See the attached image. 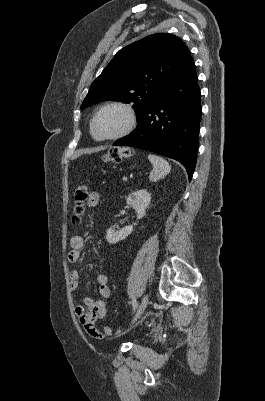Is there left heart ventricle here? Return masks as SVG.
Instances as JSON below:
<instances>
[{
  "label": "left heart ventricle",
  "mask_w": 265,
  "mask_h": 401,
  "mask_svg": "<svg viewBox=\"0 0 265 401\" xmlns=\"http://www.w3.org/2000/svg\"><path fill=\"white\" fill-rule=\"evenodd\" d=\"M125 114L119 109H109L96 120L94 133L97 137H108L116 134L123 126Z\"/></svg>",
  "instance_id": "obj_1"
}]
</instances>
